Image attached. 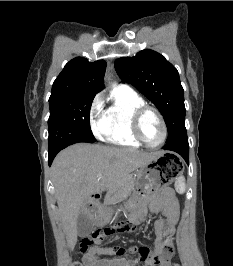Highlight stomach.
<instances>
[{
	"label": "stomach",
	"mask_w": 233,
	"mask_h": 266,
	"mask_svg": "<svg viewBox=\"0 0 233 266\" xmlns=\"http://www.w3.org/2000/svg\"><path fill=\"white\" fill-rule=\"evenodd\" d=\"M179 152H158V156H154L147 165L141 167L136 172L137 191L132 195L139 198L141 193H150L153 189L163 185H177L180 172H184V167H168L183 166ZM104 209H111V204H104ZM109 214L103 209L95 213L97 224L103 225L109 221ZM117 225H124V220H117Z\"/></svg>",
	"instance_id": "1"
}]
</instances>
